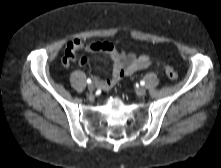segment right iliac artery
Listing matches in <instances>:
<instances>
[{
	"label": "right iliac artery",
	"instance_id": "right-iliac-artery-1",
	"mask_svg": "<svg viewBox=\"0 0 221 168\" xmlns=\"http://www.w3.org/2000/svg\"><path fill=\"white\" fill-rule=\"evenodd\" d=\"M87 83L90 84L91 83V79H87Z\"/></svg>",
	"mask_w": 221,
	"mask_h": 168
}]
</instances>
